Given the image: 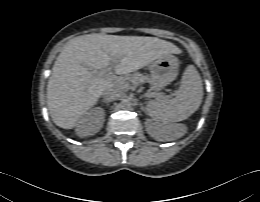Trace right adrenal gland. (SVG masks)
I'll return each instance as SVG.
<instances>
[{
    "label": "right adrenal gland",
    "instance_id": "right-adrenal-gland-1",
    "mask_svg": "<svg viewBox=\"0 0 260 202\" xmlns=\"http://www.w3.org/2000/svg\"><path fill=\"white\" fill-rule=\"evenodd\" d=\"M102 102H104L105 104H109V101H106V100H102Z\"/></svg>",
    "mask_w": 260,
    "mask_h": 202
}]
</instances>
